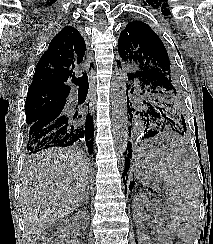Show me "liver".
<instances>
[{"mask_svg":"<svg viewBox=\"0 0 213 244\" xmlns=\"http://www.w3.org/2000/svg\"><path fill=\"white\" fill-rule=\"evenodd\" d=\"M89 167L72 148H50L34 155L20 191L22 217L30 244L55 221L83 202Z\"/></svg>","mask_w":213,"mask_h":244,"instance_id":"liver-1","label":"liver"}]
</instances>
